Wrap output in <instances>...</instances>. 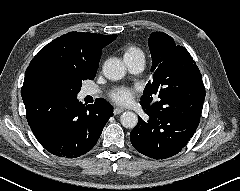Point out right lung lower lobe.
I'll use <instances>...</instances> for the list:
<instances>
[{
	"label": "right lung lower lobe",
	"mask_w": 240,
	"mask_h": 191,
	"mask_svg": "<svg viewBox=\"0 0 240 191\" xmlns=\"http://www.w3.org/2000/svg\"><path fill=\"white\" fill-rule=\"evenodd\" d=\"M29 126L38 142L58 157L76 158L97 143L113 107L103 99L83 105L75 98L34 94L23 98Z\"/></svg>",
	"instance_id": "obj_1"
}]
</instances>
